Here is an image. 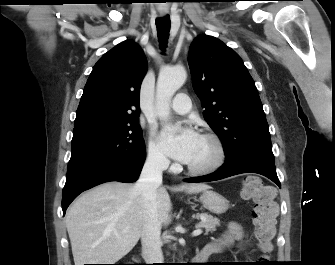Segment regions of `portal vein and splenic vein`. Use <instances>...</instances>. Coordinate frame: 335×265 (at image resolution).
<instances>
[{
    "mask_svg": "<svg viewBox=\"0 0 335 265\" xmlns=\"http://www.w3.org/2000/svg\"><path fill=\"white\" fill-rule=\"evenodd\" d=\"M200 234H202V230H201V229H196V230H194V231L192 232V235H193V236H198V235H200Z\"/></svg>",
    "mask_w": 335,
    "mask_h": 265,
    "instance_id": "18ae733b",
    "label": "portal vein and splenic vein"
}]
</instances>
